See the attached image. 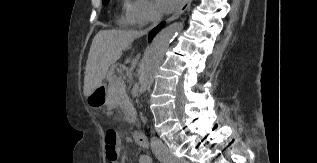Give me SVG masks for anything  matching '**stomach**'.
<instances>
[{"instance_id":"1","label":"stomach","mask_w":317,"mask_h":163,"mask_svg":"<svg viewBox=\"0 0 317 163\" xmlns=\"http://www.w3.org/2000/svg\"><path fill=\"white\" fill-rule=\"evenodd\" d=\"M87 103L91 108L98 109L107 106L108 96L104 86L96 88L88 97Z\"/></svg>"}]
</instances>
